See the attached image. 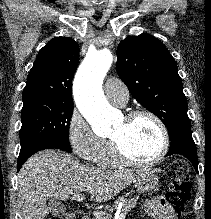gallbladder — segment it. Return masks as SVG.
Returning <instances> with one entry per match:
<instances>
[{"instance_id": "obj_1", "label": "gallbladder", "mask_w": 211, "mask_h": 219, "mask_svg": "<svg viewBox=\"0 0 211 219\" xmlns=\"http://www.w3.org/2000/svg\"><path fill=\"white\" fill-rule=\"evenodd\" d=\"M46 207L54 215H60L65 212V206L55 198L48 200Z\"/></svg>"}]
</instances>
